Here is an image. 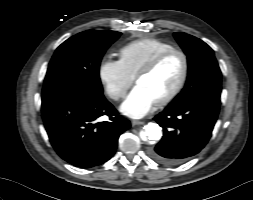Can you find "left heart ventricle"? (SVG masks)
Masks as SVG:
<instances>
[{
  "label": "left heart ventricle",
  "mask_w": 253,
  "mask_h": 200,
  "mask_svg": "<svg viewBox=\"0 0 253 200\" xmlns=\"http://www.w3.org/2000/svg\"><path fill=\"white\" fill-rule=\"evenodd\" d=\"M182 67L181 58L178 55H173L153 73L139 78L136 84L145 88L158 101L175 87L181 76Z\"/></svg>",
  "instance_id": "left-heart-ventricle-1"
}]
</instances>
